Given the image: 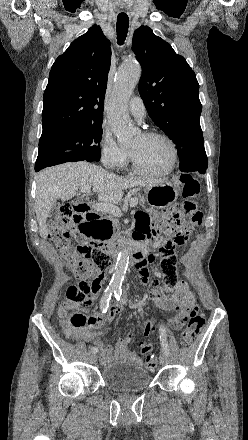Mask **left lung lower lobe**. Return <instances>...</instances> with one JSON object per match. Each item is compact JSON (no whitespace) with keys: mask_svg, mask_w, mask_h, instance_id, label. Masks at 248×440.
Returning a JSON list of instances; mask_svg holds the SVG:
<instances>
[{"mask_svg":"<svg viewBox=\"0 0 248 440\" xmlns=\"http://www.w3.org/2000/svg\"><path fill=\"white\" fill-rule=\"evenodd\" d=\"M196 172L204 174L206 172V169L205 168H201V169L196 170Z\"/></svg>","mask_w":248,"mask_h":440,"instance_id":"1","label":"left lung lower lobe"}]
</instances>
